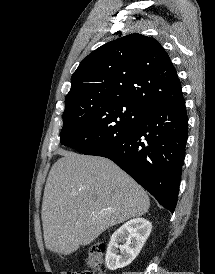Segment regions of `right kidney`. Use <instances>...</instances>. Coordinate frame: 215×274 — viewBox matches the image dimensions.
Returning a JSON list of instances; mask_svg holds the SVG:
<instances>
[{"label": "right kidney", "instance_id": "ca27d5eb", "mask_svg": "<svg viewBox=\"0 0 215 274\" xmlns=\"http://www.w3.org/2000/svg\"><path fill=\"white\" fill-rule=\"evenodd\" d=\"M151 229V223L144 218L131 219L117 229L107 248V268L113 271L129 265L140 253Z\"/></svg>", "mask_w": 215, "mask_h": 274}]
</instances>
